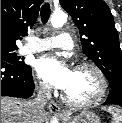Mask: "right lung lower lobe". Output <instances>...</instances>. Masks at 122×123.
Returning <instances> with one entry per match:
<instances>
[{"instance_id":"98d812e1","label":"right lung lower lobe","mask_w":122,"mask_h":123,"mask_svg":"<svg viewBox=\"0 0 122 123\" xmlns=\"http://www.w3.org/2000/svg\"><path fill=\"white\" fill-rule=\"evenodd\" d=\"M33 91L31 67L18 66L1 59V96L28 98Z\"/></svg>"}]
</instances>
